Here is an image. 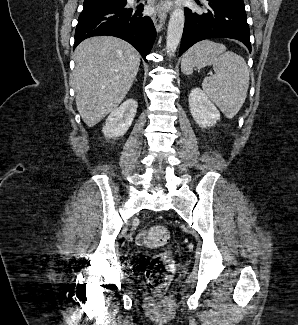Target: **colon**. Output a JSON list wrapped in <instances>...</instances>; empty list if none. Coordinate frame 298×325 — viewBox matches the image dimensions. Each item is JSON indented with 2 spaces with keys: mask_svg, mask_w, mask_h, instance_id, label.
Returning a JSON list of instances; mask_svg holds the SVG:
<instances>
[{
  "mask_svg": "<svg viewBox=\"0 0 298 325\" xmlns=\"http://www.w3.org/2000/svg\"><path fill=\"white\" fill-rule=\"evenodd\" d=\"M136 240L141 246L158 248L169 242V233L164 226L155 225L140 232ZM173 273L174 260L171 252L165 251L154 256L146 270V277L152 291L163 296L172 280Z\"/></svg>",
  "mask_w": 298,
  "mask_h": 325,
  "instance_id": "obj_1",
  "label": "colon"
}]
</instances>
